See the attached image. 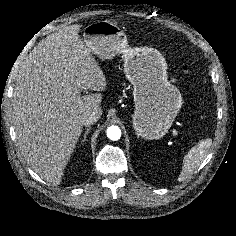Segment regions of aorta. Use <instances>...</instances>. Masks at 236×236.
<instances>
[{
	"label": "aorta",
	"mask_w": 236,
	"mask_h": 236,
	"mask_svg": "<svg viewBox=\"0 0 236 236\" xmlns=\"http://www.w3.org/2000/svg\"><path fill=\"white\" fill-rule=\"evenodd\" d=\"M107 137L110 139V140H113V141H116V140H119L120 137H121V130L118 126H109L107 128Z\"/></svg>",
	"instance_id": "aorta-1"
}]
</instances>
